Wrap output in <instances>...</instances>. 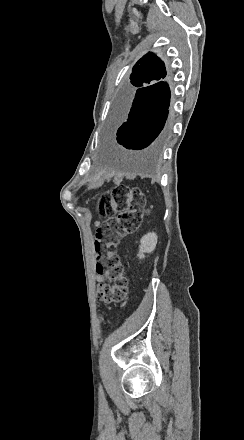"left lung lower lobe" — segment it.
I'll list each match as a JSON object with an SVG mask.
<instances>
[{"instance_id": "obj_1", "label": "left lung lower lobe", "mask_w": 244, "mask_h": 440, "mask_svg": "<svg viewBox=\"0 0 244 440\" xmlns=\"http://www.w3.org/2000/svg\"><path fill=\"white\" fill-rule=\"evenodd\" d=\"M166 77V76H165ZM165 77L125 94L119 104L117 141L127 149L157 146L168 116L170 89Z\"/></svg>"}]
</instances>
